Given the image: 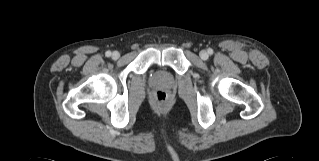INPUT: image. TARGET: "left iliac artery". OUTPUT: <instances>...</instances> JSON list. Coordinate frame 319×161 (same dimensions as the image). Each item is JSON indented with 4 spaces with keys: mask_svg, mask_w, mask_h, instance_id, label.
Segmentation results:
<instances>
[{
    "mask_svg": "<svg viewBox=\"0 0 319 161\" xmlns=\"http://www.w3.org/2000/svg\"><path fill=\"white\" fill-rule=\"evenodd\" d=\"M208 53H209L210 55H212V54H213V50H212L211 48H209V49H208Z\"/></svg>",
    "mask_w": 319,
    "mask_h": 161,
    "instance_id": "left-iliac-artery-1",
    "label": "left iliac artery"
}]
</instances>
